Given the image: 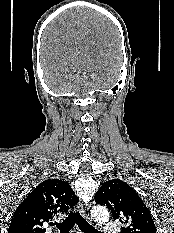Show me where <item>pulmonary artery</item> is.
Instances as JSON below:
<instances>
[{
	"mask_svg": "<svg viewBox=\"0 0 174 233\" xmlns=\"http://www.w3.org/2000/svg\"><path fill=\"white\" fill-rule=\"evenodd\" d=\"M104 231L106 233H119L118 227L114 223H106L104 225Z\"/></svg>",
	"mask_w": 174,
	"mask_h": 233,
	"instance_id": "obj_1",
	"label": "pulmonary artery"
}]
</instances>
